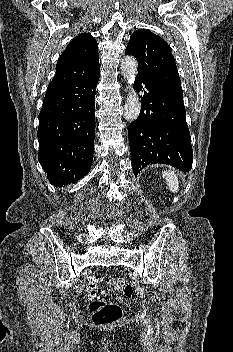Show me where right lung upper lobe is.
Instances as JSON below:
<instances>
[{"instance_id": "cb5924a9", "label": "right lung upper lobe", "mask_w": 233, "mask_h": 352, "mask_svg": "<svg viewBox=\"0 0 233 352\" xmlns=\"http://www.w3.org/2000/svg\"><path fill=\"white\" fill-rule=\"evenodd\" d=\"M99 70L98 45L95 38L89 33L80 34L60 55L56 65V74L48 88L72 83Z\"/></svg>"}]
</instances>
